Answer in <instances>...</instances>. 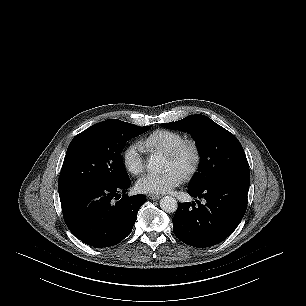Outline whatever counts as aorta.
Masks as SVG:
<instances>
[{
	"label": "aorta",
	"instance_id": "762f6f07",
	"mask_svg": "<svg viewBox=\"0 0 306 306\" xmlns=\"http://www.w3.org/2000/svg\"><path fill=\"white\" fill-rule=\"evenodd\" d=\"M164 164V159L160 155H151L148 159L147 167L151 172H159ZM160 207L167 213H173L177 210V200L172 196H164L160 200Z\"/></svg>",
	"mask_w": 306,
	"mask_h": 306
}]
</instances>
